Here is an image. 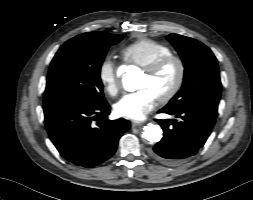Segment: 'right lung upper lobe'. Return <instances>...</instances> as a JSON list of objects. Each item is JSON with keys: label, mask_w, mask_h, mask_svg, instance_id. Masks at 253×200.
I'll return each mask as SVG.
<instances>
[{"label": "right lung upper lobe", "mask_w": 253, "mask_h": 200, "mask_svg": "<svg viewBox=\"0 0 253 200\" xmlns=\"http://www.w3.org/2000/svg\"><path fill=\"white\" fill-rule=\"evenodd\" d=\"M112 34L109 33H105V32H88V33H84V34H80V36L83 37H88V38H92V39H96V40H101V39H105L110 37Z\"/></svg>", "instance_id": "cb5924a9"}]
</instances>
